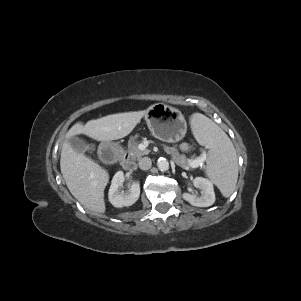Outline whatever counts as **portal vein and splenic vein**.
<instances>
[{
  "mask_svg": "<svg viewBox=\"0 0 301 301\" xmlns=\"http://www.w3.org/2000/svg\"><path fill=\"white\" fill-rule=\"evenodd\" d=\"M206 160V153L203 152L202 155L200 157H198L197 159L193 160L191 162V166L193 168L198 167L199 165H201L204 161Z\"/></svg>",
  "mask_w": 301,
  "mask_h": 301,
  "instance_id": "obj_1",
  "label": "portal vein and splenic vein"
}]
</instances>
